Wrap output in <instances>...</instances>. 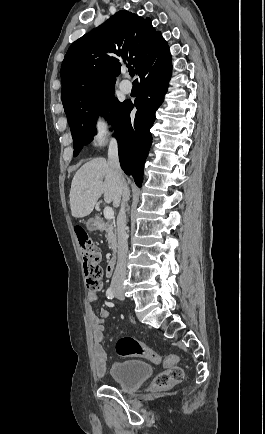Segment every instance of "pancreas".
<instances>
[{"mask_svg":"<svg viewBox=\"0 0 265 434\" xmlns=\"http://www.w3.org/2000/svg\"><path fill=\"white\" fill-rule=\"evenodd\" d=\"M106 232L108 248L109 250H113V252H116V230L114 226H108V228H106Z\"/></svg>","mask_w":265,"mask_h":434,"instance_id":"cf45deb5","label":"pancreas"}]
</instances>
